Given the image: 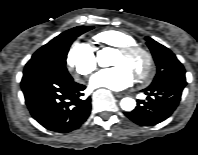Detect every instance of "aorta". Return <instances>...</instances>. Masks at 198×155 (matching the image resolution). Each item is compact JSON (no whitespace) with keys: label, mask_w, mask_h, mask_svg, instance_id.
Listing matches in <instances>:
<instances>
[{"label":"aorta","mask_w":198,"mask_h":155,"mask_svg":"<svg viewBox=\"0 0 198 155\" xmlns=\"http://www.w3.org/2000/svg\"><path fill=\"white\" fill-rule=\"evenodd\" d=\"M115 50L112 48H104L97 52V62L101 67L113 65V56ZM120 106L124 111H132L136 106V101L133 98L125 97L121 100Z\"/></svg>","instance_id":"1"}]
</instances>
